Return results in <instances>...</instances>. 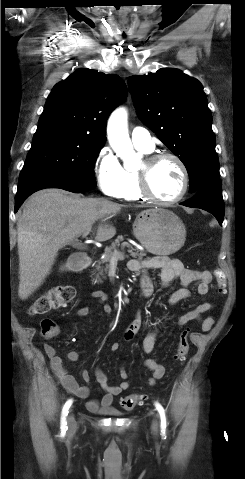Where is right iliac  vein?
<instances>
[{"mask_svg": "<svg viewBox=\"0 0 245 479\" xmlns=\"http://www.w3.org/2000/svg\"><path fill=\"white\" fill-rule=\"evenodd\" d=\"M67 424H68V429H69V432L72 433L76 430L77 428V423H76V420H75V417L73 415V413H70L67 417Z\"/></svg>", "mask_w": 245, "mask_h": 479, "instance_id": "63e3f726", "label": "right iliac vein"}]
</instances>
